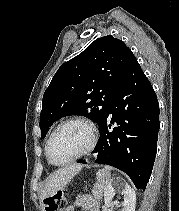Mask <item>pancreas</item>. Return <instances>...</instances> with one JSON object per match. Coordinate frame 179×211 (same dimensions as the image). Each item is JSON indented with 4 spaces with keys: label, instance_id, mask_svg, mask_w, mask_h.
Here are the masks:
<instances>
[{
    "label": "pancreas",
    "instance_id": "pancreas-1",
    "mask_svg": "<svg viewBox=\"0 0 179 211\" xmlns=\"http://www.w3.org/2000/svg\"><path fill=\"white\" fill-rule=\"evenodd\" d=\"M106 185V180L98 179L92 189V194L95 199L99 200L102 196L103 190Z\"/></svg>",
    "mask_w": 179,
    "mask_h": 211
}]
</instances>
